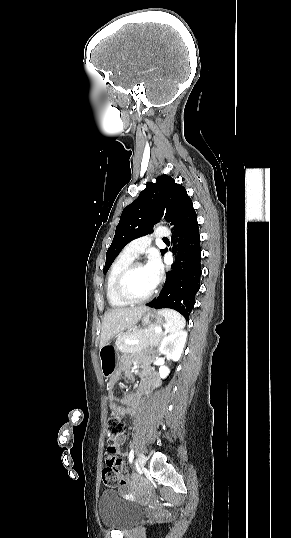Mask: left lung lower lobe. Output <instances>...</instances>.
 Instances as JSON below:
<instances>
[{
	"label": "left lung lower lobe",
	"mask_w": 291,
	"mask_h": 538,
	"mask_svg": "<svg viewBox=\"0 0 291 538\" xmlns=\"http://www.w3.org/2000/svg\"><path fill=\"white\" fill-rule=\"evenodd\" d=\"M175 230L178 236L176 264L172 271L166 273L165 285L159 296L146 305L156 309H175L188 320L200 288L202 273L199 228L194 209L178 223Z\"/></svg>",
	"instance_id": "obj_1"
}]
</instances>
